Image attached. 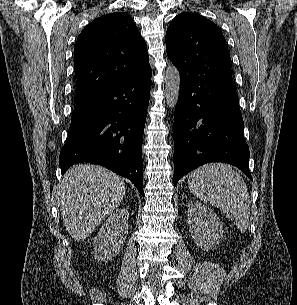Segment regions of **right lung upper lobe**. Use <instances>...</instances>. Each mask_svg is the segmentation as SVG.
<instances>
[{
    "mask_svg": "<svg viewBox=\"0 0 297 305\" xmlns=\"http://www.w3.org/2000/svg\"><path fill=\"white\" fill-rule=\"evenodd\" d=\"M76 103L150 69L147 46L124 12L103 15L78 36L74 49Z\"/></svg>",
    "mask_w": 297,
    "mask_h": 305,
    "instance_id": "obj_1",
    "label": "right lung upper lobe"
}]
</instances>
